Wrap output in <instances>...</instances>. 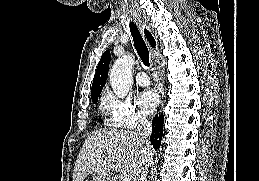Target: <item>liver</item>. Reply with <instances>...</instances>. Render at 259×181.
Returning <instances> with one entry per match:
<instances>
[{"label": "liver", "mask_w": 259, "mask_h": 181, "mask_svg": "<svg viewBox=\"0 0 259 181\" xmlns=\"http://www.w3.org/2000/svg\"><path fill=\"white\" fill-rule=\"evenodd\" d=\"M154 150L143 152L137 132L103 129L89 134L76 160L73 181H84L90 173L109 176L119 170L132 181L137 178L143 164L151 165Z\"/></svg>", "instance_id": "1"}]
</instances>
